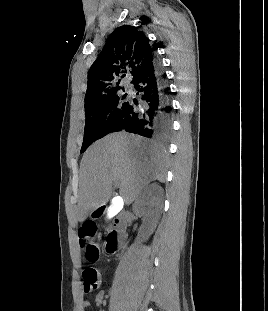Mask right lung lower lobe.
Here are the masks:
<instances>
[{"mask_svg":"<svg viewBox=\"0 0 268 311\" xmlns=\"http://www.w3.org/2000/svg\"><path fill=\"white\" fill-rule=\"evenodd\" d=\"M132 84L139 102H127L111 132L125 130L147 138L167 140L172 132V106L159 60L155 57Z\"/></svg>","mask_w":268,"mask_h":311,"instance_id":"98d812e1","label":"right lung lower lobe"}]
</instances>
